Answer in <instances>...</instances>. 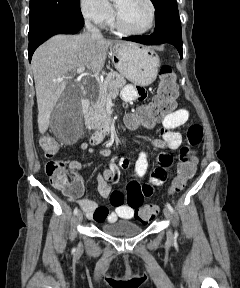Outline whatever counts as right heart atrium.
Instances as JSON below:
<instances>
[{"label": "right heart atrium", "instance_id": "1", "mask_svg": "<svg viewBox=\"0 0 240 288\" xmlns=\"http://www.w3.org/2000/svg\"><path fill=\"white\" fill-rule=\"evenodd\" d=\"M83 16L96 24H106L113 18V9L107 0H80Z\"/></svg>", "mask_w": 240, "mask_h": 288}]
</instances>
